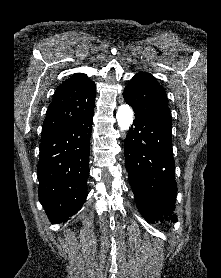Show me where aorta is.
<instances>
[{
    "label": "aorta",
    "instance_id": "1",
    "mask_svg": "<svg viewBox=\"0 0 221 278\" xmlns=\"http://www.w3.org/2000/svg\"><path fill=\"white\" fill-rule=\"evenodd\" d=\"M117 122L122 131L128 130L133 123L134 113L130 106L121 105L117 110Z\"/></svg>",
    "mask_w": 221,
    "mask_h": 278
}]
</instances>
